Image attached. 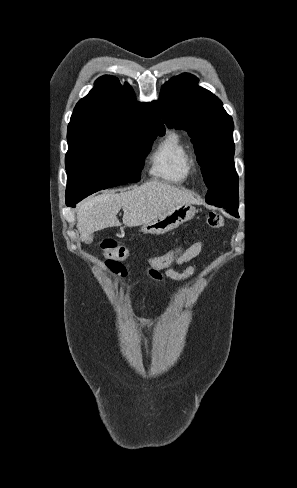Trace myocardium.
Masks as SVG:
<instances>
[{
	"label": "myocardium",
	"instance_id": "f54148a6",
	"mask_svg": "<svg viewBox=\"0 0 297 488\" xmlns=\"http://www.w3.org/2000/svg\"><path fill=\"white\" fill-rule=\"evenodd\" d=\"M196 159L190 157L189 161H188V166H189V170H192L196 167Z\"/></svg>",
	"mask_w": 297,
	"mask_h": 488
}]
</instances>
